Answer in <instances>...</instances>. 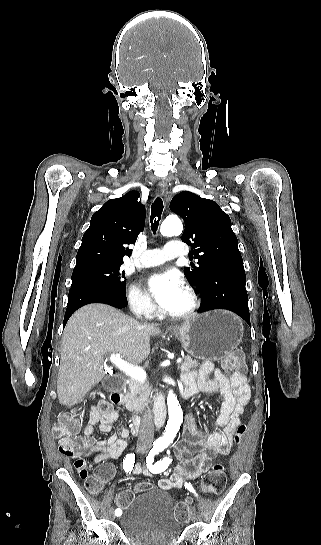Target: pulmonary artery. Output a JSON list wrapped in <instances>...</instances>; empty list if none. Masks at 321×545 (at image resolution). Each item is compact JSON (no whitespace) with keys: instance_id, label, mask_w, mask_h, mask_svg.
Masks as SVG:
<instances>
[{"instance_id":"obj_1","label":"pulmonary artery","mask_w":321,"mask_h":545,"mask_svg":"<svg viewBox=\"0 0 321 545\" xmlns=\"http://www.w3.org/2000/svg\"><path fill=\"white\" fill-rule=\"evenodd\" d=\"M181 244L179 241H167L165 250L151 249L144 250L142 260H139L135 265L139 268H148L162 264L165 261H179L181 259ZM189 257V254H186Z\"/></svg>"}]
</instances>
